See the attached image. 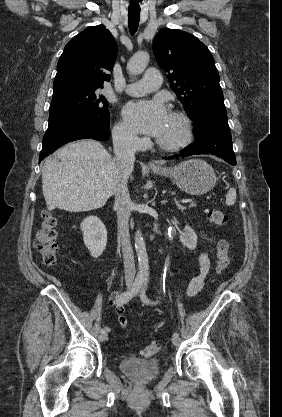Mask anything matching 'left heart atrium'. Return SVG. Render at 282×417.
Masks as SVG:
<instances>
[{"instance_id": "1", "label": "left heart atrium", "mask_w": 282, "mask_h": 417, "mask_svg": "<svg viewBox=\"0 0 282 417\" xmlns=\"http://www.w3.org/2000/svg\"><path fill=\"white\" fill-rule=\"evenodd\" d=\"M126 124L134 131L158 136L164 127L166 113L160 102L130 103L123 111Z\"/></svg>"}]
</instances>
